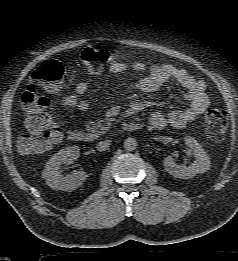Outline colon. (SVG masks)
Wrapping results in <instances>:
<instances>
[{"instance_id": "5ec220e1", "label": "colon", "mask_w": 238, "mask_h": 261, "mask_svg": "<svg viewBox=\"0 0 238 261\" xmlns=\"http://www.w3.org/2000/svg\"><path fill=\"white\" fill-rule=\"evenodd\" d=\"M81 59L90 71L97 72L110 61V52L102 47H90L82 52ZM65 73L64 65L56 59L43 62L31 75L32 84L22 95L27 133L17 140L18 149L25 154L42 153L61 139V130L53 122L50 102L38 91V87L56 90ZM227 111L217 105L211 106L203 117L206 135L213 141L223 139L228 127Z\"/></svg>"}]
</instances>
